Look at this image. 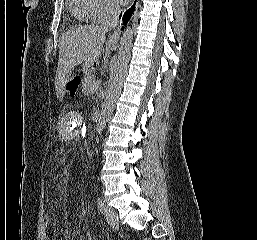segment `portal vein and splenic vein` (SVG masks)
I'll return each mask as SVG.
<instances>
[{
	"label": "portal vein and splenic vein",
	"mask_w": 257,
	"mask_h": 240,
	"mask_svg": "<svg viewBox=\"0 0 257 240\" xmlns=\"http://www.w3.org/2000/svg\"><path fill=\"white\" fill-rule=\"evenodd\" d=\"M98 85H94L91 89H90V91L93 93L95 90H96V87H97Z\"/></svg>",
	"instance_id": "portal-vein-and-splenic-vein-1"
}]
</instances>
